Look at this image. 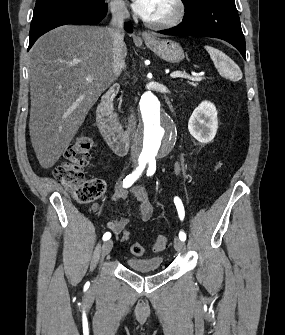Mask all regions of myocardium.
Returning <instances> with one entry per match:
<instances>
[{
	"label": "myocardium",
	"instance_id": "1",
	"mask_svg": "<svg viewBox=\"0 0 285 335\" xmlns=\"http://www.w3.org/2000/svg\"><path fill=\"white\" fill-rule=\"evenodd\" d=\"M173 13L158 23H149V26L155 30H164L177 25L185 15V5L183 1H169Z\"/></svg>",
	"mask_w": 285,
	"mask_h": 335
}]
</instances>
